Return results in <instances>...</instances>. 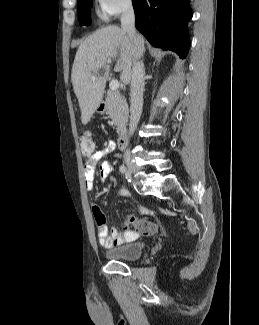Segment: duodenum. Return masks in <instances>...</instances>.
I'll use <instances>...</instances> for the list:
<instances>
[{"instance_id": "obj_1", "label": "duodenum", "mask_w": 259, "mask_h": 325, "mask_svg": "<svg viewBox=\"0 0 259 325\" xmlns=\"http://www.w3.org/2000/svg\"><path fill=\"white\" fill-rule=\"evenodd\" d=\"M101 109L103 110L105 108V103L103 102L101 105ZM129 141V135L127 132H123L118 141H117V146L119 149H124L126 147V145L128 144Z\"/></svg>"}]
</instances>
